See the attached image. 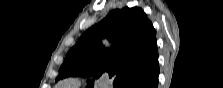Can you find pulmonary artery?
<instances>
[{
  "instance_id": "1",
  "label": "pulmonary artery",
  "mask_w": 223,
  "mask_h": 88,
  "mask_svg": "<svg viewBox=\"0 0 223 88\" xmlns=\"http://www.w3.org/2000/svg\"><path fill=\"white\" fill-rule=\"evenodd\" d=\"M80 84V81L77 78H69L65 80L64 82L60 83L62 87H68V86H78ZM101 84L104 88L109 87V82L107 81L106 78L102 77L101 78Z\"/></svg>"
}]
</instances>
